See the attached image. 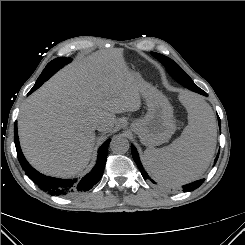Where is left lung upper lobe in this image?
Here are the masks:
<instances>
[{
	"label": "left lung upper lobe",
	"mask_w": 245,
	"mask_h": 245,
	"mask_svg": "<svg viewBox=\"0 0 245 245\" xmlns=\"http://www.w3.org/2000/svg\"><path fill=\"white\" fill-rule=\"evenodd\" d=\"M151 54L163 63V65L167 68L168 72L174 79H177V76H179L180 78L184 79L189 85H195L192 79L172 59L155 52H151Z\"/></svg>",
	"instance_id": "obj_1"
}]
</instances>
